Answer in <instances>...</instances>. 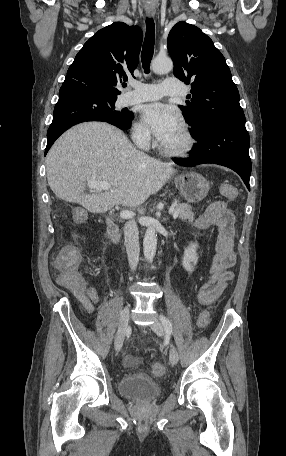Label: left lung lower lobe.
Here are the masks:
<instances>
[{
    "instance_id": "left-lung-lower-lobe-1",
    "label": "left lung lower lobe",
    "mask_w": 286,
    "mask_h": 456,
    "mask_svg": "<svg viewBox=\"0 0 286 456\" xmlns=\"http://www.w3.org/2000/svg\"><path fill=\"white\" fill-rule=\"evenodd\" d=\"M192 134V133H191ZM197 145L186 159H173L183 166L214 163L226 166L240 175L250 190L251 160L249 134L243 125L214 122L192 134Z\"/></svg>"
}]
</instances>
